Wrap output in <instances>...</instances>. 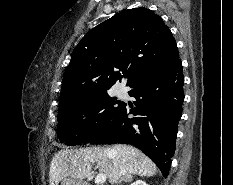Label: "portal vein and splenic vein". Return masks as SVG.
Instances as JSON below:
<instances>
[{"label":"portal vein and splenic vein","mask_w":233,"mask_h":185,"mask_svg":"<svg viewBox=\"0 0 233 185\" xmlns=\"http://www.w3.org/2000/svg\"><path fill=\"white\" fill-rule=\"evenodd\" d=\"M106 176L105 175H103V174H98L97 176H96V178H95V183L97 184V185H99V184H102V183H104L105 181H106Z\"/></svg>","instance_id":"1"}]
</instances>
